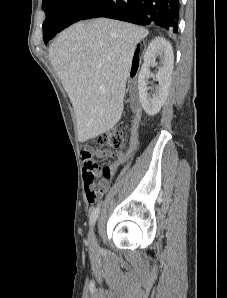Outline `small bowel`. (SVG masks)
<instances>
[{
  "instance_id": "obj_1",
  "label": "small bowel",
  "mask_w": 227,
  "mask_h": 298,
  "mask_svg": "<svg viewBox=\"0 0 227 298\" xmlns=\"http://www.w3.org/2000/svg\"><path fill=\"white\" fill-rule=\"evenodd\" d=\"M137 115H139L140 107H135ZM137 128H138V120H136L132 133L134 138L137 136ZM81 158L83 160V180L85 190L95 188L99 193V197H101L109 188L108 179L111 178L115 172L118 170L120 166H122L126 157L121 154H113L109 150L98 149L97 146H87L86 142H81ZM114 157L115 161L110 166L98 167L97 163L93 158H106V157ZM95 176H103L105 179L98 182V184L94 183Z\"/></svg>"
}]
</instances>
